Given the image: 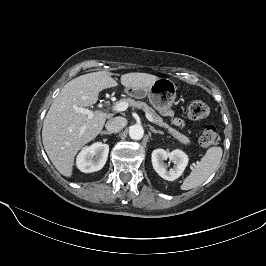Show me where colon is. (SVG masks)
<instances>
[{
    "mask_svg": "<svg viewBox=\"0 0 266 266\" xmlns=\"http://www.w3.org/2000/svg\"><path fill=\"white\" fill-rule=\"evenodd\" d=\"M209 114V107L201 100H193L188 104L187 115L192 120H202ZM201 147L208 149L220 143V136L214 126L206 127L200 138Z\"/></svg>",
    "mask_w": 266,
    "mask_h": 266,
    "instance_id": "obj_1",
    "label": "colon"
}]
</instances>
